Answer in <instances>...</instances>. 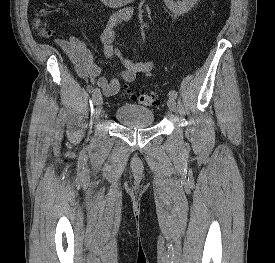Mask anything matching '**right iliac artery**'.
Wrapping results in <instances>:
<instances>
[{
    "mask_svg": "<svg viewBox=\"0 0 275 263\" xmlns=\"http://www.w3.org/2000/svg\"><path fill=\"white\" fill-rule=\"evenodd\" d=\"M100 94V89H94L92 93V101L95 102V100L100 96Z\"/></svg>",
    "mask_w": 275,
    "mask_h": 263,
    "instance_id": "1",
    "label": "right iliac artery"
}]
</instances>
